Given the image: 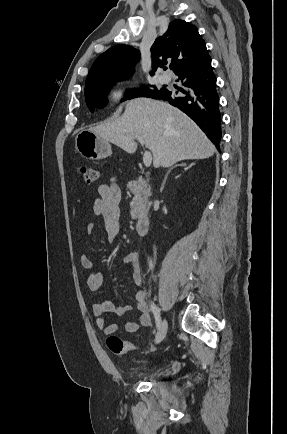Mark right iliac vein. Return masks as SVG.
Here are the masks:
<instances>
[{"label": "right iliac vein", "mask_w": 287, "mask_h": 434, "mask_svg": "<svg viewBox=\"0 0 287 434\" xmlns=\"http://www.w3.org/2000/svg\"><path fill=\"white\" fill-rule=\"evenodd\" d=\"M167 328H168L167 321L164 320L156 335L155 344H159L164 339L167 332Z\"/></svg>", "instance_id": "1"}]
</instances>
